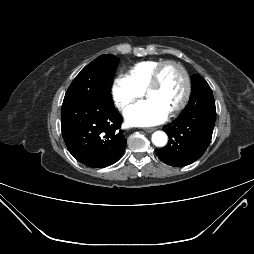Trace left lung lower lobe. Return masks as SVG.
<instances>
[{
  "mask_svg": "<svg viewBox=\"0 0 254 254\" xmlns=\"http://www.w3.org/2000/svg\"><path fill=\"white\" fill-rule=\"evenodd\" d=\"M215 120V105L188 104L176 120L163 127L169 142L156 149L159 159L174 167L199 159L211 142Z\"/></svg>",
  "mask_w": 254,
  "mask_h": 254,
  "instance_id": "1",
  "label": "left lung lower lobe"
}]
</instances>
